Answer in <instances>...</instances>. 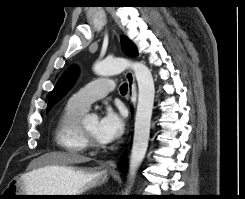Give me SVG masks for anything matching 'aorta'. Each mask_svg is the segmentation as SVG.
<instances>
[{"label": "aorta", "instance_id": "aorta-1", "mask_svg": "<svg viewBox=\"0 0 245 199\" xmlns=\"http://www.w3.org/2000/svg\"><path fill=\"white\" fill-rule=\"evenodd\" d=\"M132 69L138 83V104L135 116L133 145L128 174L132 180L141 165L148 148L151 117L154 104L155 87L149 68L141 62H133L126 58H112L97 62L93 70L100 76L119 74ZM131 188V185L128 187Z\"/></svg>", "mask_w": 245, "mask_h": 199}]
</instances>
